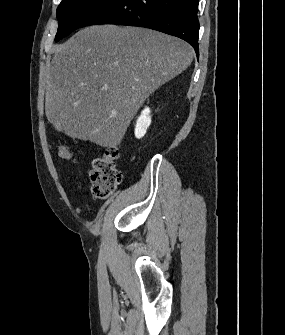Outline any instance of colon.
I'll return each instance as SVG.
<instances>
[{"label":"colon","mask_w":285,"mask_h":335,"mask_svg":"<svg viewBox=\"0 0 285 335\" xmlns=\"http://www.w3.org/2000/svg\"><path fill=\"white\" fill-rule=\"evenodd\" d=\"M58 154L65 159H74V155L65 147H58ZM118 151L115 148L107 149L104 154L95 159L89 172L92 193L95 197L105 199L109 197L122 181V172L116 160Z\"/></svg>","instance_id":"obj_1"}]
</instances>
